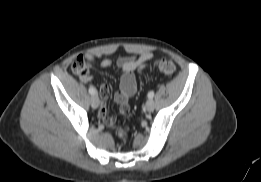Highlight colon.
Returning <instances> with one entry per match:
<instances>
[{"label": "colon", "mask_w": 261, "mask_h": 182, "mask_svg": "<svg viewBox=\"0 0 261 182\" xmlns=\"http://www.w3.org/2000/svg\"><path fill=\"white\" fill-rule=\"evenodd\" d=\"M155 67L162 73L171 75L176 71L175 63L167 57L157 59L154 62ZM72 72L82 80L90 78V70L82 57H77L71 66ZM116 134L121 138H127L128 132L125 128L114 125V121L110 124Z\"/></svg>", "instance_id": "obj_1"}]
</instances>
